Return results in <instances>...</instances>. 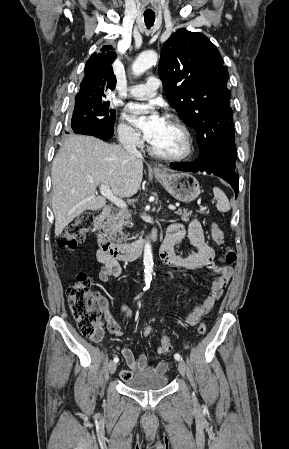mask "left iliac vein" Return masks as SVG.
<instances>
[{
    "mask_svg": "<svg viewBox=\"0 0 289 449\" xmlns=\"http://www.w3.org/2000/svg\"><path fill=\"white\" fill-rule=\"evenodd\" d=\"M178 371L182 376H185L186 371H187V365L184 361H179L178 362Z\"/></svg>",
    "mask_w": 289,
    "mask_h": 449,
    "instance_id": "left-iliac-vein-1",
    "label": "left iliac vein"
}]
</instances>
